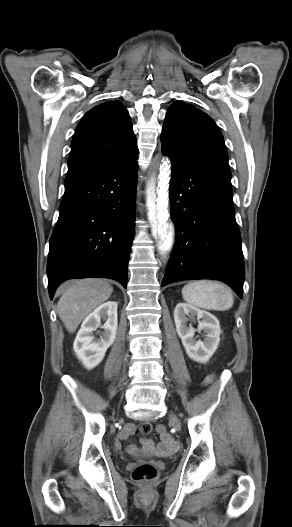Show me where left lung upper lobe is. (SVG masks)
<instances>
[{
	"label": "left lung upper lobe",
	"mask_w": 292,
	"mask_h": 527,
	"mask_svg": "<svg viewBox=\"0 0 292 527\" xmlns=\"http://www.w3.org/2000/svg\"><path fill=\"white\" fill-rule=\"evenodd\" d=\"M162 150L195 165L230 172L223 136L216 123L194 106L177 102L168 109L163 124Z\"/></svg>",
	"instance_id": "left-lung-upper-lobe-1"
}]
</instances>
